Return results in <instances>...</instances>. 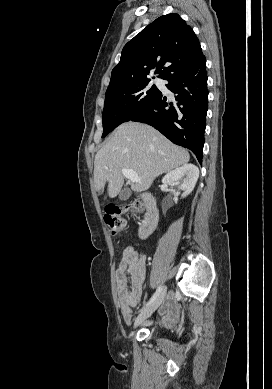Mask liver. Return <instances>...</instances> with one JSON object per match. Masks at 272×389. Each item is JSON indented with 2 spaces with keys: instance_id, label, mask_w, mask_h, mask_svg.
Listing matches in <instances>:
<instances>
[{
  "instance_id": "6515ba94",
  "label": "liver",
  "mask_w": 272,
  "mask_h": 389,
  "mask_svg": "<svg viewBox=\"0 0 272 389\" xmlns=\"http://www.w3.org/2000/svg\"><path fill=\"white\" fill-rule=\"evenodd\" d=\"M189 159L185 149L174 145L153 127L126 122L116 128L97 152L94 182L99 193L108 182V195L114 198L124 183L122 169H130L140 178L132 190L142 192L151 187L157 176L186 164Z\"/></svg>"
}]
</instances>
